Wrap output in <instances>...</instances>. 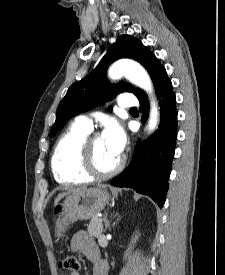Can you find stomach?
I'll return each mask as SVG.
<instances>
[{
	"instance_id": "0dacf381",
	"label": "stomach",
	"mask_w": 225,
	"mask_h": 275,
	"mask_svg": "<svg viewBox=\"0 0 225 275\" xmlns=\"http://www.w3.org/2000/svg\"><path fill=\"white\" fill-rule=\"evenodd\" d=\"M105 187L90 188L72 193L61 204L60 216L55 231L61 235L70 224L78 220H87L101 212L110 200Z\"/></svg>"
}]
</instances>
